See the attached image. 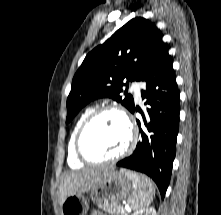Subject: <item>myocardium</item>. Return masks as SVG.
<instances>
[{
	"mask_svg": "<svg viewBox=\"0 0 221 215\" xmlns=\"http://www.w3.org/2000/svg\"><path fill=\"white\" fill-rule=\"evenodd\" d=\"M105 112H114L117 115H119L121 119L124 121L128 130L127 144L122 151H120L114 156L103 158V159L92 158L88 156L84 150V147H83L84 135L87 129L89 128V126L92 124V122L98 116H100L101 114ZM136 140H137V129L133 121L129 117V115L122 108L116 105L108 104V105H103V106L95 108L83 121L75 137V152L79 160H81L83 163H87V164L110 163V162H115L117 160H120L123 157L127 156L129 153H131V151L135 147Z\"/></svg>",
	"mask_w": 221,
	"mask_h": 215,
	"instance_id": "f54148a6",
	"label": "myocardium"
}]
</instances>
